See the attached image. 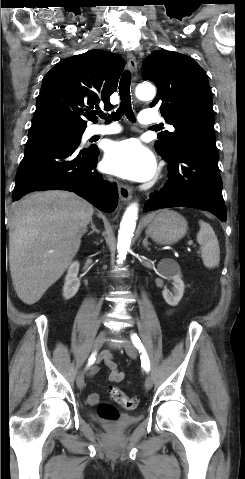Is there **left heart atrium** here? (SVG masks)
I'll use <instances>...</instances> for the list:
<instances>
[{
    "instance_id": "39dd6f15",
    "label": "left heart atrium",
    "mask_w": 245,
    "mask_h": 479,
    "mask_svg": "<svg viewBox=\"0 0 245 479\" xmlns=\"http://www.w3.org/2000/svg\"><path fill=\"white\" fill-rule=\"evenodd\" d=\"M102 166L110 174L134 181L148 180L156 169L151 152L135 139L110 143Z\"/></svg>"
}]
</instances>
